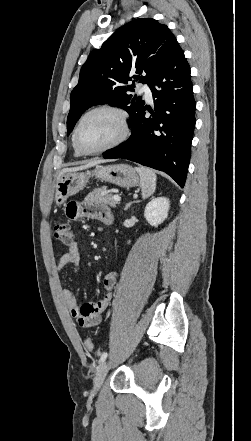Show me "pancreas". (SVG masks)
<instances>
[{
    "label": "pancreas",
    "instance_id": "1",
    "mask_svg": "<svg viewBox=\"0 0 251 441\" xmlns=\"http://www.w3.org/2000/svg\"><path fill=\"white\" fill-rule=\"evenodd\" d=\"M112 197L113 196L111 194L106 193V187H98L95 188L92 192H90L85 199L87 201L109 205L112 208H115L117 202H115Z\"/></svg>",
    "mask_w": 251,
    "mask_h": 441
}]
</instances>
